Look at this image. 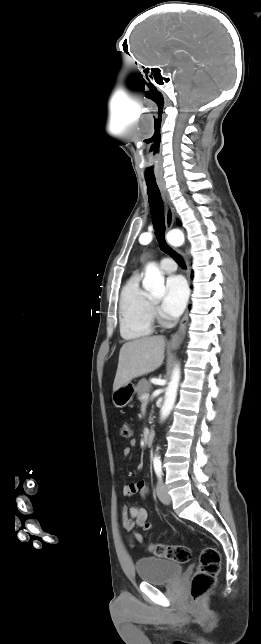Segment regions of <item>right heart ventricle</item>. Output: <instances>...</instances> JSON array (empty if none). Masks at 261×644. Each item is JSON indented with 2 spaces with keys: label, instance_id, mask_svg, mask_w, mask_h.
Returning a JSON list of instances; mask_svg holds the SVG:
<instances>
[{
  "label": "right heart ventricle",
  "instance_id": "right-heart-ventricle-1",
  "mask_svg": "<svg viewBox=\"0 0 261 644\" xmlns=\"http://www.w3.org/2000/svg\"><path fill=\"white\" fill-rule=\"evenodd\" d=\"M120 333L124 339L147 337L154 330V309L149 294L135 274L124 284L119 302Z\"/></svg>",
  "mask_w": 261,
  "mask_h": 644
}]
</instances>
